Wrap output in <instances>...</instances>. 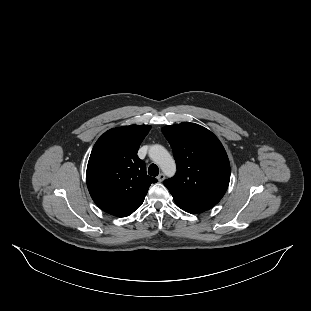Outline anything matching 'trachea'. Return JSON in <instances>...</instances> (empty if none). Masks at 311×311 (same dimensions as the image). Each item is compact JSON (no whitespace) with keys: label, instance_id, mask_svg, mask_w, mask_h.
Returning <instances> with one entry per match:
<instances>
[{"label":"trachea","instance_id":"trachea-1","mask_svg":"<svg viewBox=\"0 0 311 311\" xmlns=\"http://www.w3.org/2000/svg\"><path fill=\"white\" fill-rule=\"evenodd\" d=\"M148 174L150 176H157L159 174V168L156 164H151L148 168Z\"/></svg>","mask_w":311,"mask_h":311}]
</instances>
